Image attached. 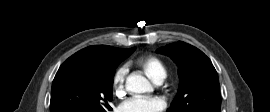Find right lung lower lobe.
I'll list each match as a JSON object with an SVG mask.
<instances>
[{
    "label": "right lung lower lobe",
    "mask_w": 270,
    "mask_h": 112,
    "mask_svg": "<svg viewBox=\"0 0 270 112\" xmlns=\"http://www.w3.org/2000/svg\"><path fill=\"white\" fill-rule=\"evenodd\" d=\"M60 112H77V111H60Z\"/></svg>",
    "instance_id": "1"
}]
</instances>
